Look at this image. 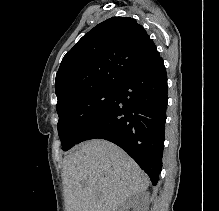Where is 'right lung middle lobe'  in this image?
<instances>
[{"instance_id":"right-lung-middle-lobe-1","label":"right lung middle lobe","mask_w":219,"mask_h":211,"mask_svg":"<svg viewBox=\"0 0 219 211\" xmlns=\"http://www.w3.org/2000/svg\"><path fill=\"white\" fill-rule=\"evenodd\" d=\"M115 86L96 87L57 104L58 133L64 151L75 144L82 133L111 105Z\"/></svg>"}]
</instances>
